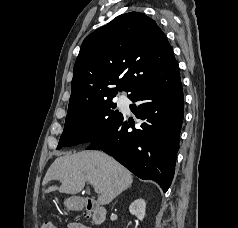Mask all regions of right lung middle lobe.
I'll list each match as a JSON object with an SVG mask.
<instances>
[{"label": "right lung middle lobe", "instance_id": "dd1d6c3e", "mask_svg": "<svg viewBox=\"0 0 238 228\" xmlns=\"http://www.w3.org/2000/svg\"><path fill=\"white\" fill-rule=\"evenodd\" d=\"M115 108L116 104L108 100L68 112L57 149L87 143L104 134L123 118Z\"/></svg>", "mask_w": 238, "mask_h": 228}]
</instances>
